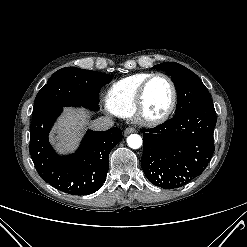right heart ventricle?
I'll return each instance as SVG.
<instances>
[{"label": "right heart ventricle", "mask_w": 247, "mask_h": 247, "mask_svg": "<svg viewBox=\"0 0 247 247\" xmlns=\"http://www.w3.org/2000/svg\"><path fill=\"white\" fill-rule=\"evenodd\" d=\"M151 74L149 72L135 73L113 83L106 96L108 108L118 116L132 115L138 90Z\"/></svg>", "instance_id": "right-heart-ventricle-1"}]
</instances>
